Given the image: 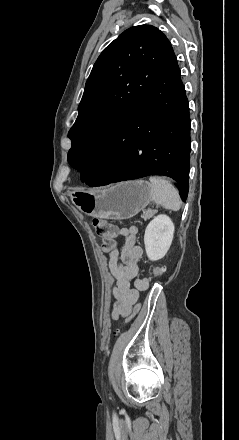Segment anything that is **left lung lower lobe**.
<instances>
[{
  "instance_id": "1",
  "label": "left lung lower lobe",
  "mask_w": 239,
  "mask_h": 440,
  "mask_svg": "<svg viewBox=\"0 0 239 440\" xmlns=\"http://www.w3.org/2000/svg\"><path fill=\"white\" fill-rule=\"evenodd\" d=\"M190 116L180 69L173 53L131 112L112 130L81 171L90 186L165 175L188 195Z\"/></svg>"
}]
</instances>
